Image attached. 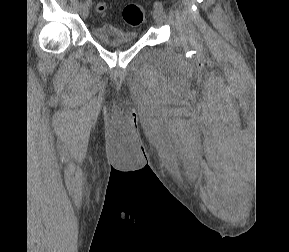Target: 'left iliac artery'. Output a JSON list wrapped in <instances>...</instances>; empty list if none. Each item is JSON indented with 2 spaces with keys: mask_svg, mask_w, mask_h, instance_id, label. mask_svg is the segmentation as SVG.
I'll list each match as a JSON object with an SVG mask.
<instances>
[{
  "mask_svg": "<svg viewBox=\"0 0 289 252\" xmlns=\"http://www.w3.org/2000/svg\"><path fill=\"white\" fill-rule=\"evenodd\" d=\"M154 7H155L156 9L164 10L162 3H161V2H158V1H156V2L154 3Z\"/></svg>",
  "mask_w": 289,
  "mask_h": 252,
  "instance_id": "obj_1",
  "label": "left iliac artery"
}]
</instances>
